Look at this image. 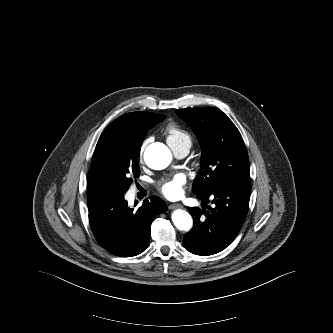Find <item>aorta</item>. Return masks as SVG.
<instances>
[{
  "mask_svg": "<svg viewBox=\"0 0 333 333\" xmlns=\"http://www.w3.org/2000/svg\"><path fill=\"white\" fill-rule=\"evenodd\" d=\"M172 160V154L168 147L162 143L149 145L144 152V161L148 167L161 170L165 169ZM172 221L175 227L181 231H189L193 226L191 215L185 210L177 209L172 213Z\"/></svg>",
  "mask_w": 333,
  "mask_h": 333,
  "instance_id": "aorta-1",
  "label": "aorta"
}]
</instances>
